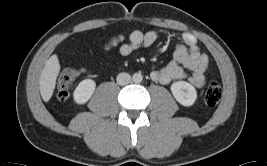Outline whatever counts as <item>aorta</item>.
<instances>
[{
	"label": "aorta",
	"mask_w": 267,
	"mask_h": 166,
	"mask_svg": "<svg viewBox=\"0 0 267 166\" xmlns=\"http://www.w3.org/2000/svg\"><path fill=\"white\" fill-rule=\"evenodd\" d=\"M132 80L134 83H140L143 80V76L141 75V73H134L132 76Z\"/></svg>",
	"instance_id": "obj_1"
}]
</instances>
